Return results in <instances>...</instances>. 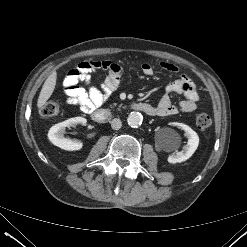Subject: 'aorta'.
Instances as JSON below:
<instances>
[{"label": "aorta", "instance_id": "obj_1", "mask_svg": "<svg viewBox=\"0 0 247 247\" xmlns=\"http://www.w3.org/2000/svg\"><path fill=\"white\" fill-rule=\"evenodd\" d=\"M142 121V114L136 111L131 112L127 118L128 125L132 128H138L139 126H141Z\"/></svg>", "mask_w": 247, "mask_h": 247}]
</instances>
